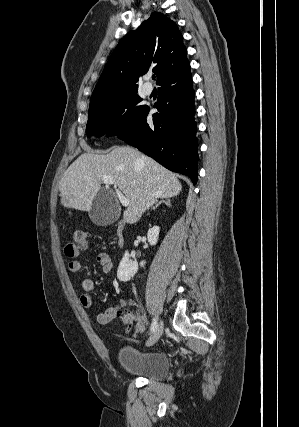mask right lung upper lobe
Returning <instances> with one entry per match:
<instances>
[{"label":"right lung upper lobe","instance_id":"obj_1","mask_svg":"<svg viewBox=\"0 0 299 427\" xmlns=\"http://www.w3.org/2000/svg\"><path fill=\"white\" fill-rule=\"evenodd\" d=\"M150 66L157 84L190 70L187 49L175 22L153 12L136 30L127 33L111 54L90 103L137 91L138 79Z\"/></svg>","mask_w":299,"mask_h":427}]
</instances>
